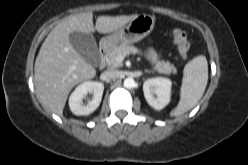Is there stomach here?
<instances>
[{"instance_id":"1","label":"stomach","mask_w":248,"mask_h":165,"mask_svg":"<svg viewBox=\"0 0 248 165\" xmlns=\"http://www.w3.org/2000/svg\"><path fill=\"white\" fill-rule=\"evenodd\" d=\"M155 19L151 15H138L125 26L116 30L113 34L104 38L111 46L136 43L151 33L154 28Z\"/></svg>"}]
</instances>
